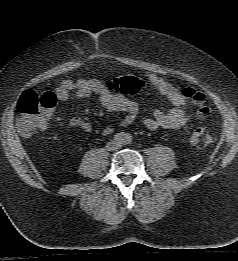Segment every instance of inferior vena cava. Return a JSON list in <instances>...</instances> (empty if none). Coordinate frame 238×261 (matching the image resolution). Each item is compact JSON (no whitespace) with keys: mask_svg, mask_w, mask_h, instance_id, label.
Instances as JSON below:
<instances>
[{"mask_svg":"<svg viewBox=\"0 0 238 261\" xmlns=\"http://www.w3.org/2000/svg\"><path fill=\"white\" fill-rule=\"evenodd\" d=\"M121 147V144L120 143H115L110 149L111 150H117Z\"/></svg>","mask_w":238,"mask_h":261,"instance_id":"602c4592","label":"inferior vena cava"}]
</instances>
